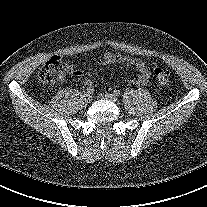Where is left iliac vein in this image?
<instances>
[{
    "instance_id": "1",
    "label": "left iliac vein",
    "mask_w": 207,
    "mask_h": 207,
    "mask_svg": "<svg viewBox=\"0 0 207 207\" xmlns=\"http://www.w3.org/2000/svg\"><path fill=\"white\" fill-rule=\"evenodd\" d=\"M100 97L103 98V99H106V100L113 101V102H116L117 101V97L114 96L111 93L101 94Z\"/></svg>"
}]
</instances>
